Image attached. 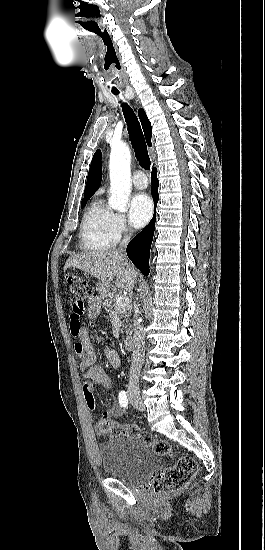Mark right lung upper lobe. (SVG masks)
Instances as JSON below:
<instances>
[{
    "label": "right lung upper lobe",
    "mask_w": 265,
    "mask_h": 550,
    "mask_svg": "<svg viewBox=\"0 0 265 550\" xmlns=\"http://www.w3.org/2000/svg\"><path fill=\"white\" fill-rule=\"evenodd\" d=\"M138 116L140 118V121L143 127L147 144L148 146H151V136H152L151 123L148 120L146 113L143 109H139ZM101 180H102L101 151L97 150L92 158L91 166L87 177V183L84 190L83 199L90 198L95 193V191L98 189L101 183Z\"/></svg>",
    "instance_id": "obj_1"
}]
</instances>
